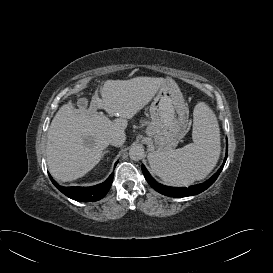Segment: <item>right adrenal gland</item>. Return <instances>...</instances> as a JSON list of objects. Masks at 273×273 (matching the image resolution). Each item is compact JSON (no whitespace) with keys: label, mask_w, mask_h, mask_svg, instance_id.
Wrapping results in <instances>:
<instances>
[{"label":"right adrenal gland","mask_w":273,"mask_h":273,"mask_svg":"<svg viewBox=\"0 0 273 273\" xmlns=\"http://www.w3.org/2000/svg\"><path fill=\"white\" fill-rule=\"evenodd\" d=\"M109 152V150H105L103 153H102V158L104 157V155L106 154V153H108Z\"/></svg>","instance_id":"2a0ac1e0"}]
</instances>
